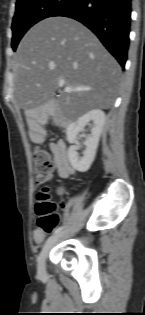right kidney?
Wrapping results in <instances>:
<instances>
[{"mask_svg": "<svg viewBox=\"0 0 145 315\" xmlns=\"http://www.w3.org/2000/svg\"><path fill=\"white\" fill-rule=\"evenodd\" d=\"M90 122H92L93 126L91 134L85 141L86 149L83 152V156H80L77 152L79 149L77 135ZM104 123L105 113L100 109H93L67 127V141L72 144L68 149V158L71 166L75 170L79 172H86L90 169L96 156Z\"/></svg>", "mask_w": 145, "mask_h": 315, "instance_id": "obj_1", "label": "right kidney"}]
</instances>
